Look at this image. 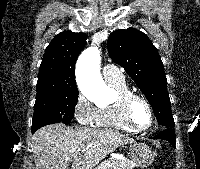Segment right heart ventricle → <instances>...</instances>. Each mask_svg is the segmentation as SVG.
Here are the masks:
<instances>
[{
  "mask_svg": "<svg viewBox=\"0 0 200 169\" xmlns=\"http://www.w3.org/2000/svg\"><path fill=\"white\" fill-rule=\"evenodd\" d=\"M108 84L116 91L118 97L113 103L98 109L94 124L98 127L134 132L123 121L119 104L120 97L131 92L130 88L126 84L125 80L110 82Z\"/></svg>",
  "mask_w": 200,
  "mask_h": 169,
  "instance_id": "e07e8e85",
  "label": "right heart ventricle"
}]
</instances>
